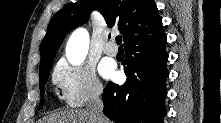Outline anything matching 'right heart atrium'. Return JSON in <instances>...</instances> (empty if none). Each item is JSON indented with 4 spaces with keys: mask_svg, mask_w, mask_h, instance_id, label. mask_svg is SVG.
Listing matches in <instances>:
<instances>
[{
    "mask_svg": "<svg viewBox=\"0 0 221 123\" xmlns=\"http://www.w3.org/2000/svg\"><path fill=\"white\" fill-rule=\"evenodd\" d=\"M54 84L59 88L64 102L72 108L98 100L103 93L95 69L88 64L72 65L60 61L52 75Z\"/></svg>",
    "mask_w": 221,
    "mask_h": 123,
    "instance_id": "obj_1",
    "label": "right heart atrium"
}]
</instances>
